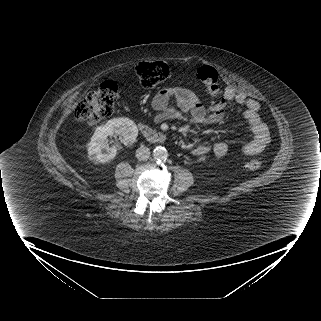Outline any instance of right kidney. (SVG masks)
Segmentation results:
<instances>
[{"mask_svg":"<svg viewBox=\"0 0 321 321\" xmlns=\"http://www.w3.org/2000/svg\"><path fill=\"white\" fill-rule=\"evenodd\" d=\"M118 135L124 145L135 142L138 136L136 124L129 118L120 117L109 120L96 128L88 144V157L95 163H106L116 156L117 148L110 147L108 137Z\"/></svg>","mask_w":321,"mask_h":321,"instance_id":"obj_1","label":"right kidney"}]
</instances>
